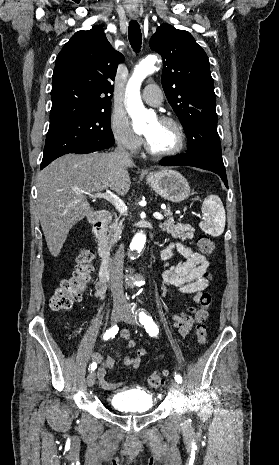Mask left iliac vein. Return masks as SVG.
Wrapping results in <instances>:
<instances>
[{"label":"left iliac vein","instance_id":"4c4485c4","mask_svg":"<svg viewBox=\"0 0 279 465\" xmlns=\"http://www.w3.org/2000/svg\"><path fill=\"white\" fill-rule=\"evenodd\" d=\"M121 319L128 323V324H132V325H135L137 323V320H136V316L134 315V313H132L131 311L129 310H126ZM179 390H180V385L177 383L176 380H172L171 381V392L174 394V395H178L179 394Z\"/></svg>","mask_w":279,"mask_h":465}]
</instances>
